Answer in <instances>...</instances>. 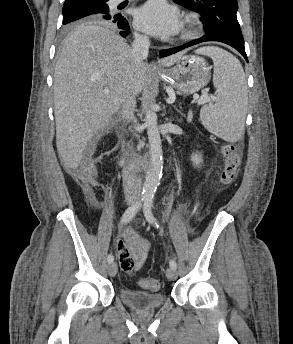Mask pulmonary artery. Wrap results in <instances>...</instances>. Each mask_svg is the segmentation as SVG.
Returning <instances> with one entry per match:
<instances>
[{
	"instance_id": "pulmonary-artery-1",
	"label": "pulmonary artery",
	"mask_w": 293,
	"mask_h": 344,
	"mask_svg": "<svg viewBox=\"0 0 293 344\" xmlns=\"http://www.w3.org/2000/svg\"><path fill=\"white\" fill-rule=\"evenodd\" d=\"M123 1H125V0H114L115 3H121Z\"/></svg>"
}]
</instances>
